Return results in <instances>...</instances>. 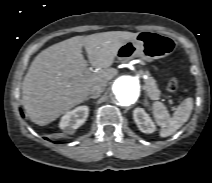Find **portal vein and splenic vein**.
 <instances>
[{"label": "portal vein and splenic vein", "instance_id": "portal-vein-and-splenic-vein-1", "mask_svg": "<svg viewBox=\"0 0 212 183\" xmlns=\"http://www.w3.org/2000/svg\"><path fill=\"white\" fill-rule=\"evenodd\" d=\"M89 72H90L89 70L86 71V73H89ZM170 105H171V104H170ZM171 108L173 109V106H172V105H171Z\"/></svg>", "mask_w": 212, "mask_h": 183}]
</instances>
